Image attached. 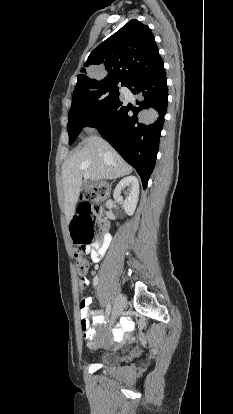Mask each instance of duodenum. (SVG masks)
<instances>
[{"instance_id":"410a0bca","label":"duodenum","mask_w":233,"mask_h":414,"mask_svg":"<svg viewBox=\"0 0 233 414\" xmlns=\"http://www.w3.org/2000/svg\"><path fill=\"white\" fill-rule=\"evenodd\" d=\"M82 203H87V198H82ZM82 203L80 202L79 204L81 205ZM89 203H94V198H89Z\"/></svg>"}]
</instances>
